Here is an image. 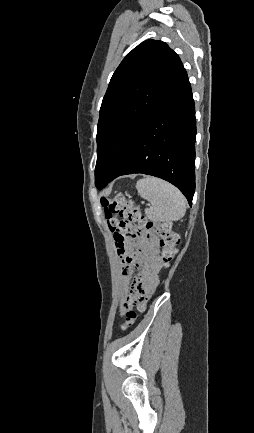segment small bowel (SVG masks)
I'll use <instances>...</instances> for the list:
<instances>
[{
	"mask_svg": "<svg viewBox=\"0 0 254 433\" xmlns=\"http://www.w3.org/2000/svg\"><path fill=\"white\" fill-rule=\"evenodd\" d=\"M119 257L124 302L128 297L146 301L155 292L163 267L153 237L141 233L135 240L126 243L125 254Z\"/></svg>",
	"mask_w": 254,
	"mask_h": 433,
	"instance_id": "obj_1",
	"label": "small bowel"
}]
</instances>
